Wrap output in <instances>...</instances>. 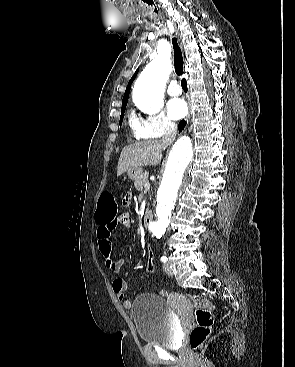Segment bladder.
<instances>
[{
  "mask_svg": "<svg viewBox=\"0 0 295 367\" xmlns=\"http://www.w3.org/2000/svg\"><path fill=\"white\" fill-rule=\"evenodd\" d=\"M131 315L138 337L149 344L173 348L179 332L168 302L156 294H141L133 301Z\"/></svg>",
  "mask_w": 295,
  "mask_h": 367,
  "instance_id": "bladder-1",
  "label": "bladder"
}]
</instances>
